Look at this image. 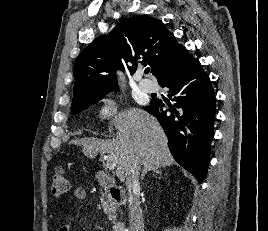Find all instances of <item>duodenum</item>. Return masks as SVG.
I'll return each instance as SVG.
<instances>
[{
  "label": "duodenum",
  "mask_w": 268,
  "mask_h": 231,
  "mask_svg": "<svg viewBox=\"0 0 268 231\" xmlns=\"http://www.w3.org/2000/svg\"><path fill=\"white\" fill-rule=\"evenodd\" d=\"M97 182L104 188L110 190V196L116 203H124L127 199L125 190L116 184L114 178L107 175L105 172H98L96 174ZM113 231H126V225L122 221H116Z\"/></svg>",
  "instance_id": "duodenum-1"
}]
</instances>
